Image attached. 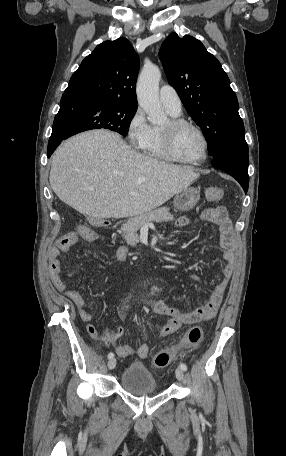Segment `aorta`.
I'll return each instance as SVG.
<instances>
[{"mask_svg":"<svg viewBox=\"0 0 286 456\" xmlns=\"http://www.w3.org/2000/svg\"><path fill=\"white\" fill-rule=\"evenodd\" d=\"M160 69L153 64L145 65L137 82V99L152 124H163L167 120L159 101Z\"/></svg>","mask_w":286,"mask_h":456,"instance_id":"1","label":"aorta"}]
</instances>
